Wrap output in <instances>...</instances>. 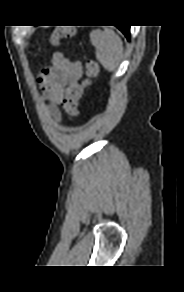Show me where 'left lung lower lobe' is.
I'll list each match as a JSON object with an SVG mask.
<instances>
[{
    "mask_svg": "<svg viewBox=\"0 0 184 292\" xmlns=\"http://www.w3.org/2000/svg\"><path fill=\"white\" fill-rule=\"evenodd\" d=\"M118 28L123 32V34L129 40L130 39V27L129 26H121V27H118Z\"/></svg>",
    "mask_w": 184,
    "mask_h": 292,
    "instance_id": "1",
    "label": "left lung lower lobe"
}]
</instances>
